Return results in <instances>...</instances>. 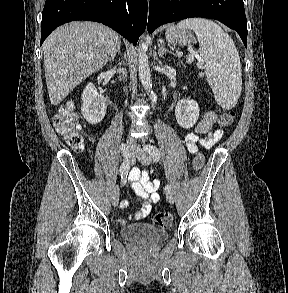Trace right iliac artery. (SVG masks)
Segmentation results:
<instances>
[{
  "instance_id": "right-iliac-artery-1",
  "label": "right iliac artery",
  "mask_w": 288,
  "mask_h": 293,
  "mask_svg": "<svg viewBox=\"0 0 288 293\" xmlns=\"http://www.w3.org/2000/svg\"><path fill=\"white\" fill-rule=\"evenodd\" d=\"M128 152H129V147H123V145L121 146V156H122V160H123V164L122 166L120 167V170H119V173H120V176L121 174H123V170H128L129 171V163H128V160H129V157H128Z\"/></svg>"
}]
</instances>
